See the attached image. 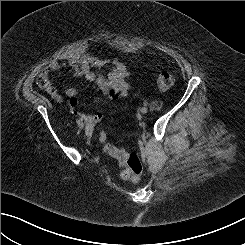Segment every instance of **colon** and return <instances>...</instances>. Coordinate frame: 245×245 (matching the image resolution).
<instances>
[{"mask_svg":"<svg viewBox=\"0 0 245 245\" xmlns=\"http://www.w3.org/2000/svg\"><path fill=\"white\" fill-rule=\"evenodd\" d=\"M175 79L172 74L162 72L157 78V86L161 91L172 88ZM37 85L45 90H53L48 76L42 73L37 79ZM103 149L110 156L114 157L122 166L121 177L128 182H138L142 175V162L139 155L135 152H127L113 146L107 139L106 134L101 135Z\"/></svg>","mask_w":245,"mask_h":245,"instance_id":"colon-1","label":"colon"}]
</instances>
